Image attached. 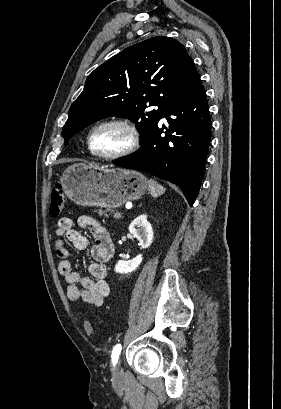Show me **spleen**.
<instances>
[{
	"instance_id": "3e777b00",
	"label": "spleen",
	"mask_w": 281,
	"mask_h": 409,
	"mask_svg": "<svg viewBox=\"0 0 281 409\" xmlns=\"http://www.w3.org/2000/svg\"><path fill=\"white\" fill-rule=\"evenodd\" d=\"M148 184H149V190H150V194H152V196H161V194H164L166 188H164V186H162V184H159V182H156V180H153V178H150V180H148Z\"/></svg>"
}]
</instances>
